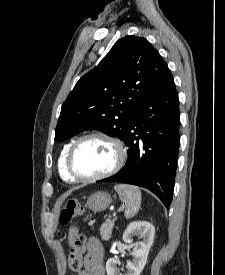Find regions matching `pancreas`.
<instances>
[{
  "instance_id": "1",
  "label": "pancreas",
  "mask_w": 225,
  "mask_h": 275,
  "mask_svg": "<svg viewBox=\"0 0 225 275\" xmlns=\"http://www.w3.org/2000/svg\"><path fill=\"white\" fill-rule=\"evenodd\" d=\"M114 227V221L107 220L100 227V236L103 240L107 241L110 239L112 230Z\"/></svg>"
}]
</instances>
